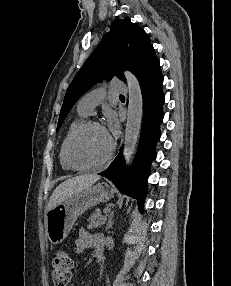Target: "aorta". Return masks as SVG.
<instances>
[{
	"label": "aorta",
	"mask_w": 231,
	"mask_h": 286,
	"mask_svg": "<svg viewBox=\"0 0 231 286\" xmlns=\"http://www.w3.org/2000/svg\"><path fill=\"white\" fill-rule=\"evenodd\" d=\"M124 75L128 84L129 98L123 155L125 159V164L128 165L134 154L141 129L143 115V98L142 91L137 78L129 71L124 72Z\"/></svg>",
	"instance_id": "1"
}]
</instances>
